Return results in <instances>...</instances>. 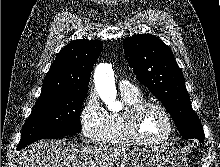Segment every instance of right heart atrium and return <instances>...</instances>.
Here are the masks:
<instances>
[{
  "instance_id": "1",
  "label": "right heart atrium",
  "mask_w": 220,
  "mask_h": 167,
  "mask_svg": "<svg viewBox=\"0 0 220 167\" xmlns=\"http://www.w3.org/2000/svg\"><path fill=\"white\" fill-rule=\"evenodd\" d=\"M79 120L83 140L87 143L101 142L107 124V111L95 91L90 90L85 96L80 108Z\"/></svg>"
}]
</instances>
